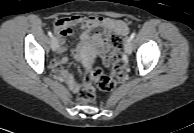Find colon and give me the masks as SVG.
Here are the masks:
<instances>
[{
    "mask_svg": "<svg viewBox=\"0 0 194 133\" xmlns=\"http://www.w3.org/2000/svg\"><path fill=\"white\" fill-rule=\"evenodd\" d=\"M123 36L115 34L111 37L112 51L108 55V61L111 63L110 74L105 75L98 67L93 68L87 76V84L80 90L79 98L83 103L94 100L95 90L91 82L102 91H110L114 89L122 78V52L121 47Z\"/></svg>",
    "mask_w": 194,
    "mask_h": 133,
    "instance_id": "obj_1",
    "label": "colon"
}]
</instances>
